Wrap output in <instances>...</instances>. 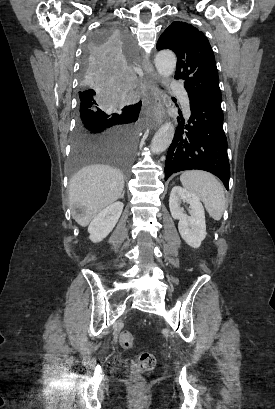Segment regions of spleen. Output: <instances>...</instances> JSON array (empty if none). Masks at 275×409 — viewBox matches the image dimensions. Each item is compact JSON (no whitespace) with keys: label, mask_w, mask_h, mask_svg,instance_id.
I'll use <instances>...</instances> for the list:
<instances>
[{"label":"spleen","mask_w":275,"mask_h":409,"mask_svg":"<svg viewBox=\"0 0 275 409\" xmlns=\"http://www.w3.org/2000/svg\"><path fill=\"white\" fill-rule=\"evenodd\" d=\"M180 180L187 190L201 198L210 217L220 221L225 209V192L218 178L205 170H186Z\"/></svg>","instance_id":"1"}]
</instances>
